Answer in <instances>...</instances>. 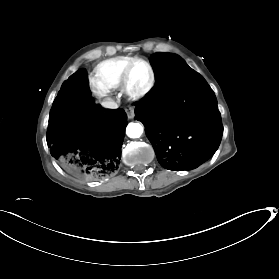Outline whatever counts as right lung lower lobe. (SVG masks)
Returning <instances> with one entry per match:
<instances>
[{
	"mask_svg": "<svg viewBox=\"0 0 279 279\" xmlns=\"http://www.w3.org/2000/svg\"><path fill=\"white\" fill-rule=\"evenodd\" d=\"M90 94L85 70L63 83L50 111L47 144L72 174L95 179L118 168L127 118L123 109L102 114ZM69 152L78 155L65 156Z\"/></svg>",
	"mask_w": 279,
	"mask_h": 279,
	"instance_id": "1",
	"label": "right lung lower lobe"
}]
</instances>
